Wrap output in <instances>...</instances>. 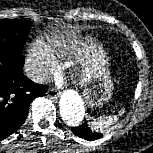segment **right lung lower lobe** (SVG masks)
I'll return each instance as SVG.
<instances>
[{"label": "right lung lower lobe", "mask_w": 153, "mask_h": 153, "mask_svg": "<svg viewBox=\"0 0 153 153\" xmlns=\"http://www.w3.org/2000/svg\"><path fill=\"white\" fill-rule=\"evenodd\" d=\"M23 65L22 54L0 52V140L22 126L31 102L47 91L24 76Z\"/></svg>", "instance_id": "1"}]
</instances>
